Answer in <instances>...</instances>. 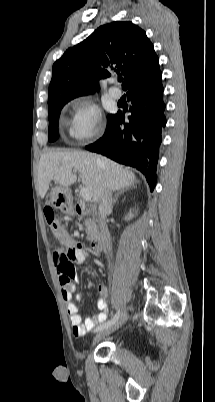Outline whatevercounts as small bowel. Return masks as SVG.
Listing matches in <instances>:
<instances>
[{
  "mask_svg": "<svg viewBox=\"0 0 215 402\" xmlns=\"http://www.w3.org/2000/svg\"><path fill=\"white\" fill-rule=\"evenodd\" d=\"M65 256H67V259ZM85 257V249L82 246L76 245L75 243H73L71 250H64L62 247L56 250L53 254V261L59 275L61 295L67 303V312L69 314L72 331L77 337L85 335L87 332L94 329L97 324L105 322L108 317V308L106 303L108 288L106 285L100 284L97 288L99 294L97 308L99 313L93 317L87 318L84 322H82L78 308V304L81 302V296H73L75 291L74 280L77 279V273L74 265L82 264L85 260ZM68 263L72 265L73 269L70 272H65L63 268Z\"/></svg>",
  "mask_w": 215,
  "mask_h": 402,
  "instance_id": "c3829d8e",
  "label": "small bowel"
}]
</instances>
